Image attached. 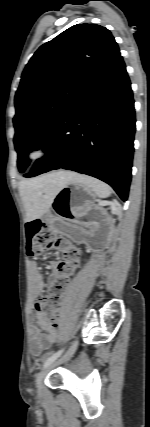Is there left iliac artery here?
<instances>
[{"label":"left iliac artery","instance_id":"44dca946","mask_svg":"<svg viewBox=\"0 0 150 427\" xmlns=\"http://www.w3.org/2000/svg\"><path fill=\"white\" fill-rule=\"evenodd\" d=\"M62 352H63V349L57 351L56 353H54L50 357H48L43 364V368H46L49 364L54 362L62 354Z\"/></svg>","mask_w":150,"mask_h":427}]
</instances>
